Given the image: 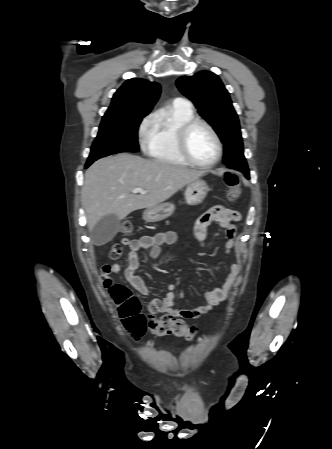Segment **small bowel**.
Returning a JSON list of instances; mask_svg holds the SVG:
<instances>
[{"label": "small bowel", "instance_id": "obj_1", "mask_svg": "<svg viewBox=\"0 0 332 449\" xmlns=\"http://www.w3.org/2000/svg\"><path fill=\"white\" fill-rule=\"evenodd\" d=\"M241 215L238 211L226 208L222 205H217L201 214L194 226V235L196 240L204 245L207 236L208 227L212 223L218 224L225 232L226 243L225 250L230 254L235 246L237 228L236 223L240 220ZM123 245L129 248L127 256V266L124 270L125 279L135 288L140 294L148 295L149 288L143 279L136 274L140 266L138 251L146 250L149 252V262L155 261L161 252V247L164 245H175L178 243V237L173 232H162L153 236H144L139 239H122ZM120 270V265L117 263H108L103 265L101 271V282L104 286H109L112 283L111 275ZM240 272V265L236 262L232 263L225 275L222 285L208 290L204 293V302L188 310L175 309L173 307L175 299L174 283H167V293L162 299H153L147 306V312L154 317L158 314L167 313L173 317H183L185 319H197L209 313L213 307L226 299L231 288L233 287L237 276ZM181 297L184 293L181 292Z\"/></svg>", "mask_w": 332, "mask_h": 449}]
</instances>
